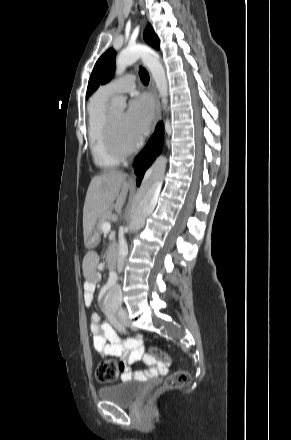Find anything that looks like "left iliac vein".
Wrapping results in <instances>:
<instances>
[{"label": "left iliac vein", "instance_id": "left-iliac-vein-1", "mask_svg": "<svg viewBox=\"0 0 291 440\" xmlns=\"http://www.w3.org/2000/svg\"><path fill=\"white\" fill-rule=\"evenodd\" d=\"M118 318L120 319V321L122 322V324L126 327V326H129V324H130V321H129V318H128V314H127V311L125 310V309H120L119 311H118Z\"/></svg>", "mask_w": 291, "mask_h": 440}]
</instances>
